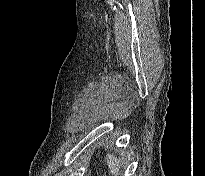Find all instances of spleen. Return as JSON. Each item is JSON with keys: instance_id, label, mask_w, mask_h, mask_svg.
<instances>
[{"instance_id": "3e777b00", "label": "spleen", "mask_w": 205, "mask_h": 176, "mask_svg": "<svg viewBox=\"0 0 205 176\" xmlns=\"http://www.w3.org/2000/svg\"><path fill=\"white\" fill-rule=\"evenodd\" d=\"M107 165L112 175H119L120 167L119 160L117 159V157H115L113 154H108Z\"/></svg>"}]
</instances>
